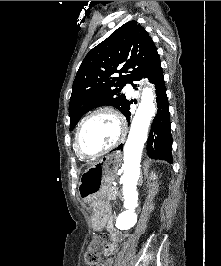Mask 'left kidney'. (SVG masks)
<instances>
[{
    "mask_svg": "<svg viewBox=\"0 0 221 266\" xmlns=\"http://www.w3.org/2000/svg\"><path fill=\"white\" fill-rule=\"evenodd\" d=\"M156 178H157V176H156L155 174H152V175H151V179H152V180H155ZM152 208H153V207L151 206V209H152Z\"/></svg>",
    "mask_w": 221,
    "mask_h": 266,
    "instance_id": "1",
    "label": "left kidney"
}]
</instances>
